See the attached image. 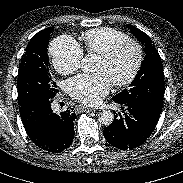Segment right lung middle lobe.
<instances>
[{
	"instance_id": "right-lung-middle-lobe-1",
	"label": "right lung middle lobe",
	"mask_w": 183,
	"mask_h": 183,
	"mask_svg": "<svg viewBox=\"0 0 183 183\" xmlns=\"http://www.w3.org/2000/svg\"><path fill=\"white\" fill-rule=\"evenodd\" d=\"M54 27L37 33L28 43L18 70V103L22 106L32 97L53 98L57 93L56 83L49 73L47 46Z\"/></svg>"
}]
</instances>
